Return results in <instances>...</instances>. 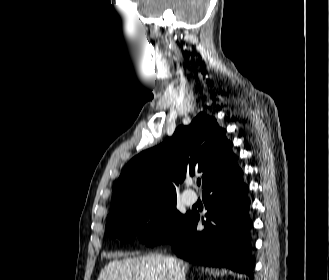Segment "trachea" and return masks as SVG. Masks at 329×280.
<instances>
[{"instance_id": "trachea-1", "label": "trachea", "mask_w": 329, "mask_h": 280, "mask_svg": "<svg viewBox=\"0 0 329 280\" xmlns=\"http://www.w3.org/2000/svg\"><path fill=\"white\" fill-rule=\"evenodd\" d=\"M200 184H201V180L198 179V180H197V185L200 186Z\"/></svg>"}]
</instances>
